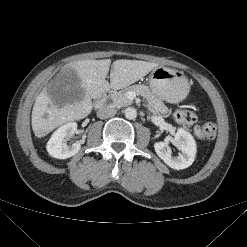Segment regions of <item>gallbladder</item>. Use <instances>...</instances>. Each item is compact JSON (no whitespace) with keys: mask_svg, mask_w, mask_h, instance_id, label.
<instances>
[{"mask_svg":"<svg viewBox=\"0 0 247 247\" xmlns=\"http://www.w3.org/2000/svg\"><path fill=\"white\" fill-rule=\"evenodd\" d=\"M78 82L79 78L74 71H61L46 87L47 93L55 104L71 103L77 93H82L77 86Z\"/></svg>","mask_w":247,"mask_h":247,"instance_id":"1","label":"gallbladder"}]
</instances>
